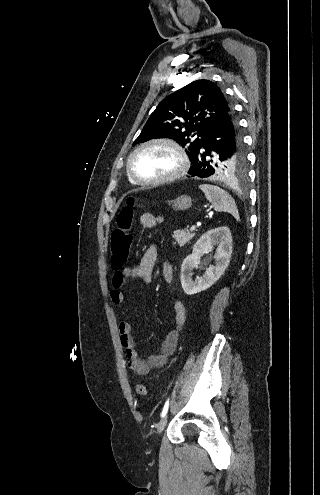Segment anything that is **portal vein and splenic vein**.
<instances>
[{
	"label": "portal vein and splenic vein",
	"instance_id": "obj_1",
	"mask_svg": "<svg viewBox=\"0 0 320 495\" xmlns=\"http://www.w3.org/2000/svg\"><path fill=\"white\" fill-rule=\"evenodd\" d=\"M195 230H196V225H192L190 231H195Z\"/></svg>",
	"mask_w": 320,
	"mask_h": 495
}]
</instances>
